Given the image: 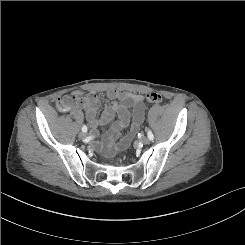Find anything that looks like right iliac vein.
I'll return each instance as SVG.
<instances>
[{
  "label": "right iliac vein",
  "mask_w": 245,
  "mask_h": 245,
  "mask_svg": "<svg viewBox=\"0 0 245 245\" xmlns=\"http://www.w3.org/2000/svg\"><path fill=\"white\" fill-rule=\"evenodd\" d=\"M86 137V134L84 132L79 133V138L84 139Z\"/></svg>",
  "instance_id": "obj_1"
}]
</instances>
